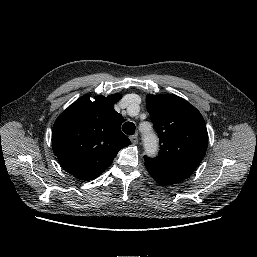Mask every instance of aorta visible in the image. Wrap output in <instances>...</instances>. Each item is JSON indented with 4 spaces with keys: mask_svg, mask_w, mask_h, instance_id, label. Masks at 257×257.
I'll return each mask as SVG.
<instances>
[{
    "mask_svg": "<svg viewBox=\"0 0 257 257\" xmlns=\"http://www.w3.org/2000/svg\"><path fill=\"white\" fill-rule=\"evenodd\" d=\"M144 149L145 153L149 156L156 154L158 150V142L156 137L153 134H146L144 137Z\"/></svg>",
    "mask_w": 257,
    "mask_h": 257,
    "instance_id": "aorta-1",
    "label": "aorta"
}]
</instances>
